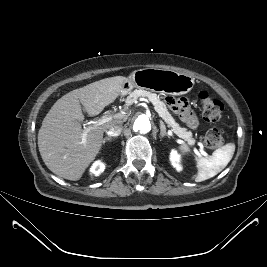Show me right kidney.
Returning a JSON list of instances; mask_svg holds the SVG:
<instances>
[{
    "label": "right kidney",
    "instance_id": "ca27d5eb",
    "mask_svg": "<svg viewBox=\"0 0 267 267\" xmlns=\"http://www.w3.org/2000/svg\"><path fill=\"white\" fill-rule=\"evenodd\" d=\"M104 169H105V165L100 161H96L90 168V172L91 174L98 176L104 171Z\"/></svg>",
    "mask_w": 267,
    "mask_h": 267
}]
</instances>
